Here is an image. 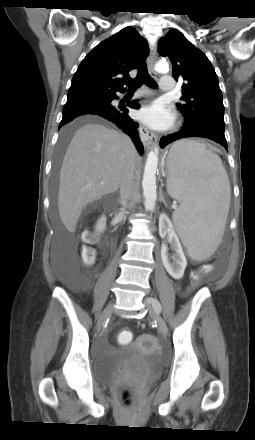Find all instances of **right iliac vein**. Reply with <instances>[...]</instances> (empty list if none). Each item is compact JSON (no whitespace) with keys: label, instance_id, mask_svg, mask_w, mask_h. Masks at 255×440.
Here are the masks:
<instances>
[{"label":"right iliac vein","instance_id":"63e3f726","mask_svg":"<svg viewBox=\"0 0 255 440\" xmlns=\"http://www.w3.org/2000/svg\"><path fill=\"white\" fill-rule=\"evenodd\" d=\"M113 309H114L113 303H110V304H108L106 306V308L102 312V315L99 318L98 323H97L98 331L101 330V328H102L103 324L105 323V321L111 317Z\"/></svg>","mask_w":255,"mask_h":440}]
</instances>
